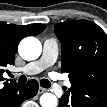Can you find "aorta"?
Here are the masks:
<instances>
[{"label":"aorta","instance_id":"1","mask_svg":"<svg viewBox=\"0 0 107 107\" xmlns=\"http://www.w3.org/2000/svg\"><path fill=\"white\" fill-rule=\"evenodd\" d=\"M42 52L41 42L34 37H27L19 44V54L24 60H35ZM42 107H56L58 105L57 97L52 93H44L40 97Z\"/></svg>","mask_w":107,"mask_h":107}]
</instances>
